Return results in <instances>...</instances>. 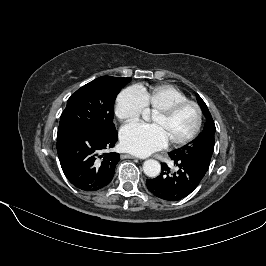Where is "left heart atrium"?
<instances>
[{"mask_svg":"<svg viewBox=\"0 0 266 266\" xmlns=\"http://www.w3.org/2000/svg\"><path fill=\"white\" fill-rule=\"evenodd\" d=\"M123 148L133 154L146 156L168 144L162 130L155 124L130 123L120 133Z\"/></svg>","mask_w":266,"mask_h":266,"instance_id":"left-heart-atrium-1","label":"left heart atrium"}]
</instances>
